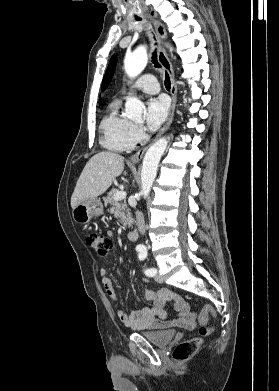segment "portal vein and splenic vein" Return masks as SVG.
<instances>
[{
    "instance_id": "18ae733b",
    "label": "portal vein and splenic vein",
    "mask_w": 279,
    "mask_h": 391,
    "mask_svg": "<svg viewBox=\"0 0 279 391\" xmlns=\"http://www.w3.org/2000/svg\"><path fill=\"white\" fill-rule=\"evenodd\" d=\"M126 197V192L125 191H117L113 197L115 201H120L125 199Z\"/></svg>"
}]
</instances>
